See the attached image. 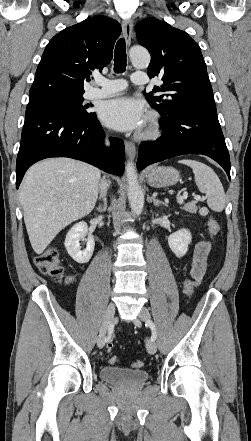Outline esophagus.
<instances>
[{
    "mask_svg": "<svg viewBox=\"0 0 251 441\" xmlns=\"http://www.w3.org/2000/svg\"><path fill=\"white\" fill-rule=\"evenodd\" d=\"M132 27H133L132 20H130V19L123 20L122 30H123V35H124L126 44L128 46L131 43ZM124 144H125V149H126L128 156L130 158H134L136 155V148H135L134 143H132L130 141H125Z\"/></svg>",
    "mask_w": 251,
    "mask_h": 441,
    "instance_id": "34e87169",
    "label": "esophagus"
}]
</instances>
